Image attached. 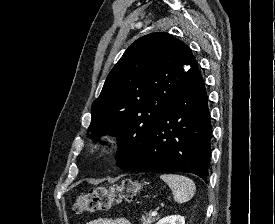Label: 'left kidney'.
<instances>
[{
    "instance_id": "obj_1",
    "label": "left kidney",
    "mask_w": 275,
    "mask_h": 224,
    "mask_svg": "<svg viewBox=\"0 0 275 224\" xmlns=\"http://www.w3.org/2000/svg\"><path fill=\"white\" fill-rule=\"evenodd\" d=\"M156 224H185V219L180 215H172L160 219Z\"/></svg>"
}]
</instances>
